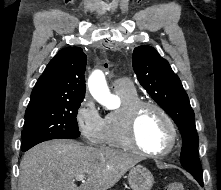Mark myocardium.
<instances>
[{"instance_id":"obj_1","label":"myocardium","mask_w":221,"mask_h":190,"mask_svg":"<svg viewBox=\"0 0 221 190\" xmlns=\"http://www.w3.org/2000/svg\"><path fill=\"white\" fill-rule=\"evenodd\" d=\"M146 107L153 108L157 112H159L169 127L170 140H169L168 145L162 150H158V151L147 150L141 147L137 142L136 135H135L137 117L139 113L141 112V110ZM122 137H123L126 147L129 150L134 151L144 156L161 157V156L169 154L176 147V144L178 141V131L174 123V120L162 106H160L159 104L153 101L138 100L134 103L127 105L123 111Z\"/></svg>"}]
</instances>
